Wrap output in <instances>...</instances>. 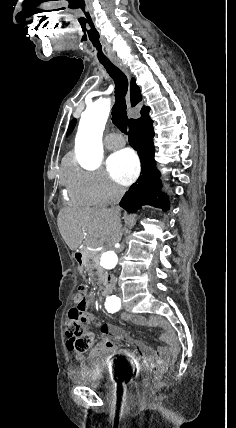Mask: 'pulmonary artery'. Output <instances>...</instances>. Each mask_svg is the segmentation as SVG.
<instances>
[{
	"label": "pulmonary artery",
	"instance_id": "1",
	"mask_svg": "<svg viewBox=\"0 0 236 428\" xmlns=\"http://www.w3.org/2000/svg\"><path fill=\"white\" fill-rule=\"evenodd\" d=\"M111 136H113V134H111V135H110V137H111ZM125 143H126V142H125V140H122V141H121V142H119V143L107 142V147H108L109 149L114 150V149H118V148L122 147Z\"/></svg>",
	"mask_w": 236,
	"mask_h": 428
}]
</instances>
